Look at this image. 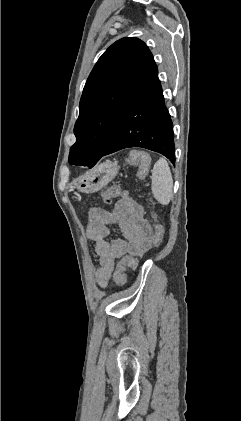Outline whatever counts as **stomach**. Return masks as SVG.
<instances>
[{"label":"stomach","mask_w":241,"mask_h":421,"mask_svg":"<svg viewBox=\"0 0 241 421\" xmlns=\"http://www.w3.org/2000/svg\"><path fill=\"white\" fill-rule=\"evenodd\" d=\"M118 170L117 163L103 162L77 181V190L84 193L98 191L117 175Z\"/></svg>","instance_id":"0dacf381"}]
</instances>
